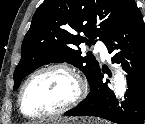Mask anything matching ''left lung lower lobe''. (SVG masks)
Masks as SVG:
<instances>
[{
  "label": "left lung lower lobe",
  "mask_w": 145,
  "mask_h": 124,
  "mask_svg": "<svg viewBox=\"0 0 145 124\" xmlns=\"http://www.w3.org/2000/svg\"><path fill=\"white\" fill-rule=\"evenodd\" d=\"M108 52L120 50L112 57L122 63L127 75L128 90L119 105L112 90L103 82L101 69L86 99L68 110L67 116H96L118 124H143L145 109V27L135 4L126 21L107 43Z\"/></svg>",
  "instance_id": "obj_1"
}]
</instances>
